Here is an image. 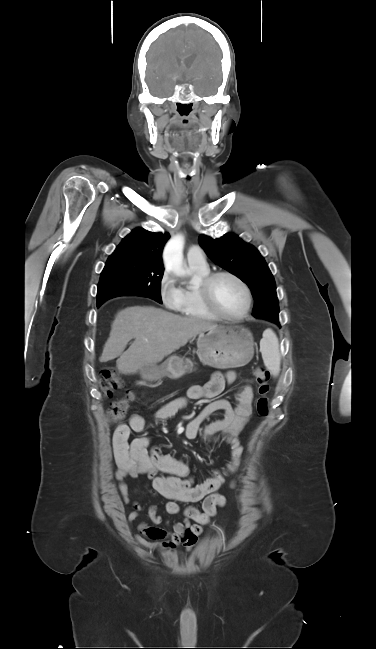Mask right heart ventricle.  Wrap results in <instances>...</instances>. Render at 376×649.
Wrapping results in <instances>:
<instances>
[{
	"label": "right heart ventricle",
	"mask_w": 376,
	"mask_h": 649,
	"mask_svg": "<svg viewBox=\"0 0 376 649\" xmlns=\"http://www.w3.org/2000/svg\"><path fill=\"white\" fill-rule=\"evenodd\" d=\"M190 269L195 274L197 282L187 283L180 288L182 298L177 311L188 318L217 320L218 317L205 308L199 292L200 280L209 274L208 266L190 265Z\"/></svg>",
	"instance_id": "right-heart-ventricle-1"
}]
</instances>
